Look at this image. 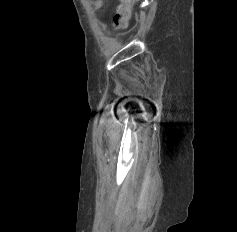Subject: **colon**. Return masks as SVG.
<instances>
[{
  "label": "colon",
  "mask_w": 237,
  "mask_h": 232,
  "mask_svg": "<svg viewBox=\"0 0 237 232\" xmlns=\"http://www.w3.org/2000/svg\"><path fill=\"white\" fill-rule=\"evenodd\" d=\"M135 2H137V0H121L114 16V25L117 28H125L128 25L131 17V8Z\"/></svg>",
  "instance_id": "1"
}]
</instances>
